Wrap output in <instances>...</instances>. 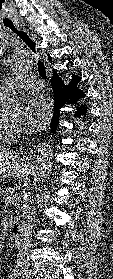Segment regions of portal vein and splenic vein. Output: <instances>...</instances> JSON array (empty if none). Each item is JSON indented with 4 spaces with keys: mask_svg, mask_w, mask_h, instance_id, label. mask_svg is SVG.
Masks as SVG:
<instances>
[{
    "mask_svg": "<svg viewBox=\"0 0 113 279\" xmlns=\"http://www.w3.org/2000/svg\"><path fill=\"white\" fill-rule=\"evenodd\" d=\"M13 198H14L13 196H10V197H9V200L11 201Z\"/></svg>",
    "mask_w": 113,
    "mask_h": 279,
    "instance_id": "18ae733b",
    "label": "portal vein and splenic vein"
}]
</instances>
